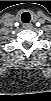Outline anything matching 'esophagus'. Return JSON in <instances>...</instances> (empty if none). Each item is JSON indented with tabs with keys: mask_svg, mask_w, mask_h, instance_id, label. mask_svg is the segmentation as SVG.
<instances>
[{
	"mask_svg": "<svg viewBox=\"0 0 51 101\" xmlns=\"http://www.w3.org/2000/svg\"><path fill=\"white\" fill-rule=\"evenodd\" d=\"M33 26H32V24L31 23H25V24H23V28L24 29H31Z\"/></svg>",
	"mask_w": 51,
	"mask_h": 101,
	"instance_id": "1",
	"label": "esophagus"
}]
</instances>
